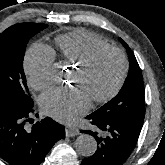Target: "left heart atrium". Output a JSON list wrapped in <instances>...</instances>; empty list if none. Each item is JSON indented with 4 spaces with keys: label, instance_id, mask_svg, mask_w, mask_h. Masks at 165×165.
I'll return each mask as SVG.
<instances>
[{
    "label": "left heart atrium",
    "instance_id": "1",
    "mask_svg": "<svg viewBox=\"0 0 165 165\" xmlns=\"http://www.w3.org/2000/svg\"><path fill=\"white\" fill-rule=\"evenodd\" d=\"M90 101L91 99L79 87L52 88L41 96L40 106L52 118L70 123L88 110Z\"/></svg>",
    "mask_w": 165,
    "mask_h": 165
}]
</instances>
